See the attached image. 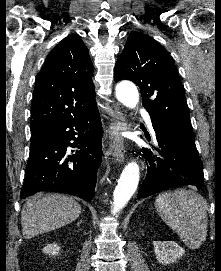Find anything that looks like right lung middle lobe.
<instances>
[{
	"instance_id": "right-lung-middle-lobe-1",
	"label": "right lung middle lobe",
	"mask_w": 221,
	"mask_h": 271,
	"mask_svg": "<svg viewBox=\"0 0 221 271\" xmlns=\"http://www.w3.org/2000/svg\"><path fill=\"white\" fill-rule=\"evenodd\" d=\"M47 129H44V130H38V131H31V139L36 136V135H39L41 133H43L44 131H46Z\"/></svg>"
}]
</instances>
